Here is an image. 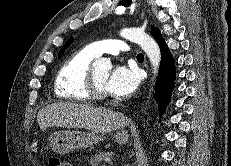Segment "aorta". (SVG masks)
Wrapping results in <instances>:
<instances>
[{"mask_svg": "<svg viewBox=\"0 0 231 166\" xmlns=\"http://www.w3.org/2000/svg\"><path fill=\"white\" fill-rule=\"evenodd\" d=\"M120 36L141 46L151 62L153 69L152 80L155 81L161 62V52L154 39L138 28H125L120 31ZM93 67L96 70L109 73L112 69V63L110 59L100 58L94 62Z\"/></svg>", "mask_w": 231, "mask_h": 166, "instance_id": "aorta-1", "label": "aorta"}]
</instances>
